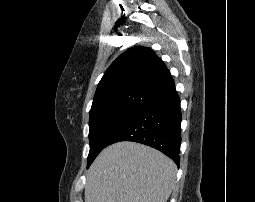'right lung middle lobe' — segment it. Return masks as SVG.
<instances>
[{
	"label": "right lung middle lobe",
	"instance_id": "1",
	"mask_svg": "<svg viewBox=\"0 0 255 202\" xmlns=\"http://www.w3.org/2000/svg\"><path fill=\"white\" fill-rule=\"evenodd\" d=\"M134 109H117L90 116V151L87 168L108 145L110 138L137 112Z\"/></svg>",
	"mask_w": 255,
	"mask_h": 202
}]
</instances>
